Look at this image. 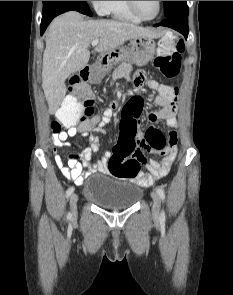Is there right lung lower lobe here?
Here are the masks:
<instances>
[{
    "label": "right lung lower lobe",
    "instance_id": "obj_1",
    "mask_svg": "<svg viewBox=\"0 0 233 295\" xmlns=\"http://www.w3.org/2000/svg\"><path fill=\"white\" fill-rule=\"evenodd\" d=\"M67 11H78L88 16L92 13L86 1H46L43 2V14L41 21V35L46 30L52 19L57 15Z\"/></svg>",
    "mask_w": 233,
    "mask_h": 295
}]
</instances>
